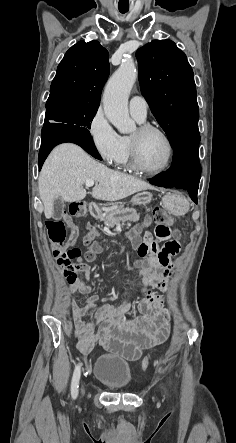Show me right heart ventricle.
Wrapping results in <instances>:
<instances>
[{"mask_svg": "<svg viewBox=\"0 0 236 443\" xmlns=\"http://www.w3.org/2000/svg\"><path fill=\"white\" fill-rule=\"evenodd\" d=\"M140 122H142V121H140ZM122 139H123V143H124L125 152H124V157H123L120 165L122 167H124L125 169L131 170L134 167H133L132 161H131L129 137L124 136V137H122Z\"/></svg>", "mask_w": 236, "mask_h": 443, "instance_id": "e07e8e85", "label": "right heart ventricle"}]
</instances>
